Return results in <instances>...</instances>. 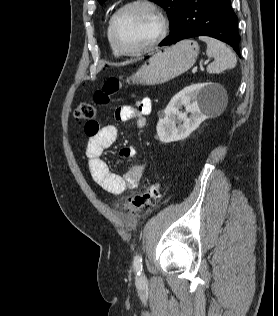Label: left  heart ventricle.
<instances>
[{
	"instance_id": "1",
	"label": "left heart ventricle",
	"mask_w": 278,
	"mask_h": 316,
	"mask_svg": "<svg viewBox=\"0 0 278 316\" xmlns=\"http://www.w3.org/2000/svg\"><path fill=\"white\" fill-rule=\"evenodd\" d=\"M157 32V18L143 6L126 10L120 15L116 24L118 42L127 50H135L148 44Z\"/></svg>"
}]
</instances>
